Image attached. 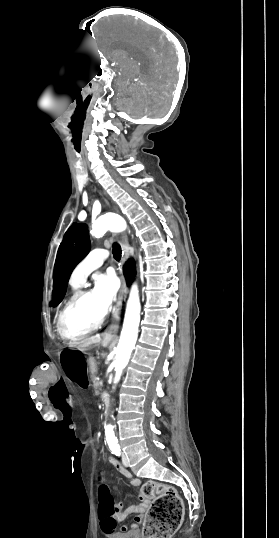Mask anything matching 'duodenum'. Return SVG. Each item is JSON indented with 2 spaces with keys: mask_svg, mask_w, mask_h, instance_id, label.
Returning <instances> with one entry per match:
<instances>
[{
  "mask_svg": "<svg viewBox=\"0 0 279 538\" xmlns=\"http://www.w3.org/2000/svg\"><path fill=\"white\" fill-rule=\"evenodd\" d=\"M91 372L93 374H96L98 372V369H97V366H93V368L91 369ZM100 400H103V397H100ZM101 405L103 407H108V408H111V405H112V399H109V400H103L101 402ZM107 413H110V410H107Z\"/></svg>",
  "mask_w": 279,
  "mask_h": 538,
  "instance_id": "obj_1",
  "label": "duodenum"
}]
</instances>
